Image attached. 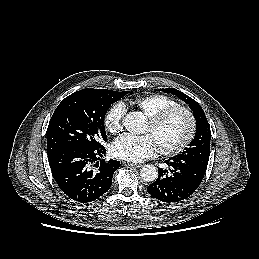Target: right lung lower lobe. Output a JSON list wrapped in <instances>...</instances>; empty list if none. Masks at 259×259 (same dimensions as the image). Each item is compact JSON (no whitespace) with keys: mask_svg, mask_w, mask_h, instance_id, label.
<instances>
[{"mask_svg":"<svg viewBox=\"0 0 259 259\" xmlns=\"http://www.w3.org/2000/svg\"><path fill=\"white\" fill-rule=\"evenodd\" d=\"M105 153L102 147L96 150L62 148L48 154L53 177L60 189L69 198L82 203L105 194L111 187L114 171L121 166L116 160L96 162ZM95 162L97 170L91 168Z\"/></svg>","mask_w":259,"mask_h":259,"instance_id":"98d812e1","label":"right lung lower lobe"}]
</instances>
